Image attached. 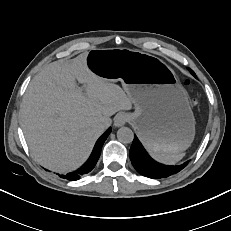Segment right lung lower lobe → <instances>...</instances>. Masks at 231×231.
<instances>
[{
    "label": "right lung lower lobe",
    "instance_id": "right-lung-lower-lobe-1",
    "mask_svg": "<svg viewBox=\"0 0 231 231\" xmlns=\"http://www.w3.org/2000/svg\"><path fill=\"white\" fill-rule=\"evenodd\" d=\"M112 131V128L110 127L96 142L95 147L93 149V152L88 159V161L78 170L67 173L66 175H60L61 178L67 179V180H78L81 176L89 173L96 165L100 154H101V149L103 146V143L107 139L108 135Z\"/></svg>",
    "mask_w": 231,
    "mask_h": 231
}]
</instances>
